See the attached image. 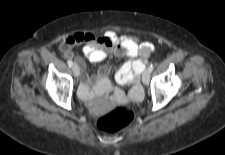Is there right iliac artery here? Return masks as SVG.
I'll use <instances>...</instances> for the list:
<instances>
[{"mask_svg": "<svg viewBox=\"0 0 225 155\" xmlns=\"http://www.w3.org/2000/svg\"><path fill=\"white\" fill-rule=\"evenodd\" d=\"M67 64H68L70 67H72V66H73L72 60H68V61H67Z\"/></svg>", "mask_w": 225, "mask_h": 155, "instance_id": "82829eb1", "label": "right iliac artery"}]
</instances>
